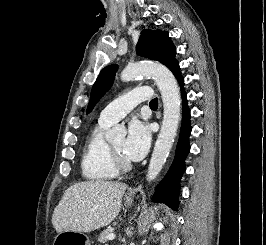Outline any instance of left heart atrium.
<instances>
[{
	"mask_svg": "<svg viewBox=\"0 0 266 245\" xmlns=\"http://www.w3.org/2000/svg\"><path fill=\"white\" fill-rule=\"evenodd\" d=\"M149 145L150 131L148 126L139 120L130 122L122 147V153L126 160L129 162L140 161L145 156Z\"/></svg>",
	"mask_w": 266,
	"mask_h": 245,
	"instance_id": "1",
	"label": "left heart atrium"
}]
</instances>
